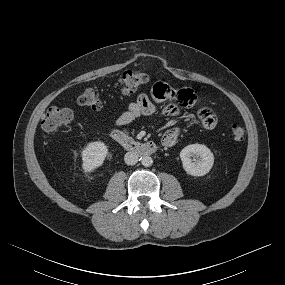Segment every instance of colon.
Wrapping results in <instances>:
<instances>
[{
  "label": "colon",
  "instance_id": "1",
  "mask_svg": "<svg viewBox=\"0 0 285 285\" xmlns=\"http://www.w3.org/2000/svg\"><path fill=\"white\" fill-rule=\"evenodd\" d=\"M148 82L145 73L139 70H131L122 74L119 79L120 92L123 95H129ZM157 84V83H156ZM78 103L93 110L102 108V101L98 90L87 88L78 97ZM73 120V112L68 108L51 107L48 109L41 122L42 129L47 133H56L68 126ZM230 135L235 141L243 140L245 130L240 125H232Z\"/></svg>",
  "mask_w": 285,
  "mask_h": 285
}]
</instances>
